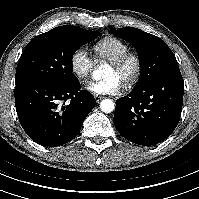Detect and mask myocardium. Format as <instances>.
Returning a JSON list of instances; mask_svg holds the SVG:
<instances>
[{"instance_id": "myocardium-1", "label": "myocardium", "mask_w": 199, "mask_h": 199, "mask_svg": "<svg viewBox=\"0 0 199 199\" xmlns=\"http://www.w3.org/2000/svg\"><path fill=\"white\" fill-rule=\"evenodd\" d=\"M129 63L132 64L133 70L123 81L125 87L134 85L140 78L143 70L141 56L136 52L128 51L110 63L116 69H123Z\"/></svg>"}]
</instances>
